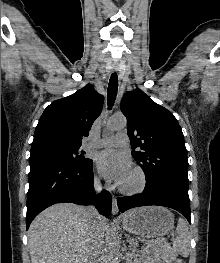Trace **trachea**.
<instances>
[{"mask_svg": "<svg viewBox=\"0 0 220 263\" xmlns=\"http://www.w3.org/2000/svg\"><path fill=\"white\" fill-rule=\"evenodd\" d=\"M118 91V77L117 73H113L110 77L109 84H108V91H107V104L108 110H111Z\"/></svg>", "mask_w": 220, "mask_h": 263, "instance_id": "3493384b", "label": "trachea"}]
</instances>
